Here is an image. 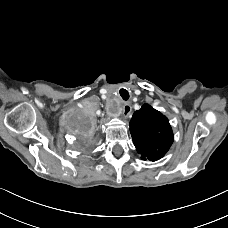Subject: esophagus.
Returning <instances> with one entry per match:
<instances>
[{"mask_svg": "<svg viewBox=\"0 0 228 228\" xmlns=\"http://www.w3.org/2000/svg\"><path fill=\"white\" fill-rule=\"evenodd\" d=\"M131 111H132L131 105H130L128 102H126V103L123 105V115H124L125 117H129L130 114H131Z\"/></svg>", "mask_w": 228, "mask_h": 228, "instance_id": "34e87169", "label": "esophagus"}]
</instances>
